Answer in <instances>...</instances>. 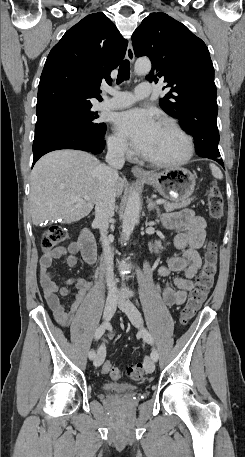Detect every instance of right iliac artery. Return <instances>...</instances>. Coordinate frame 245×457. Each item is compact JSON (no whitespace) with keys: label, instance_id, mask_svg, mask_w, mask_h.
<instances>
[{"label":"right iliac artery","instance_id":"obj_1","mask_svg":"<svg viewBox=\"0 0 245 457\" xmlns=\"http://www.w3.org/2000/svg\"><path fill=\"white\" fill-rule=\"evenodd\" d=\"M106 328H107V323H103L102 325H100L97 328V330L95 332V340H99L104 335ZM95 356H96L95 351L91 350L89 352V358L92 360L95 358Z\"/></svg>","mask_w":245,"mask_h":457}]
</instances>
